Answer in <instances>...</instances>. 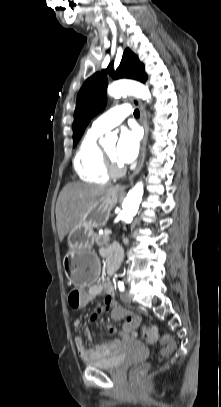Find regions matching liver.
<instances>
[{"mask_svg":"<svg viewBox=\"0 0 221 407\" xmlns=\"http://www.w3.org/2000/svg\"><path fill=\"white\" fill-rule=\"evenodd\" d=\"M109 190L111 188L106 186L80 182L64 186L56 203V224L60 242L81 217L92 208L96 200Z\"/></svg>","mask_w":221,"mask_h":407,"instance_id":"obj_1","label":"liver"}]
</instances>
